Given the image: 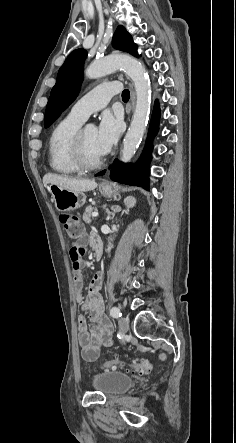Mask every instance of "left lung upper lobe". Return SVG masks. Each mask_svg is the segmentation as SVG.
I'll return each instance as SVG.
<instances>
[{
    "mask_svg": "<svg viewBox=\"0 0 236 443\" xmlns=\"http://www.w3.org/2000/svg\"><path fill=\"white\" fill-rule=\"evenodd\" d=\"M114 48L126 51L136 57L137 45L123 26H119L114 34ZM87 57L84 49L72 51L59 69L57 81L51 90L46 106L44 127H49L59 115L75 100L83 81V65Z\"/></svg>",
    "mask_w": 236,
    "mask_h": 443,
    "instance_id": "left-lung-upper-lobe-1",
    "label": "left lung upper lobe"
}]
</instances>
